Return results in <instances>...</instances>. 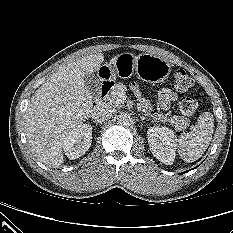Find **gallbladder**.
I'll use <instances>...</instances> for the list:
<instances>
[{
    "label": "gallbladder",
    "instance_id": "bac80fb5",
    "mask_svg": "<svg viewBox=\"0 0 233 233\" xmlns=\"http://www.w3.org/2000/svg\"><path fill=\"white\" fill-rule=\"evenodd\" d=\"M84 84L86 88L90 91L91 95L98 97L100 94V80L94 73H87L84 76Z\"/></svg>",
    "mask_w": 233,
    "mask_h": 233
}]
</instances>
